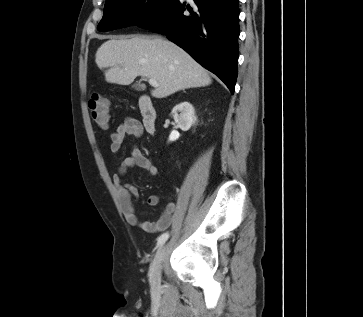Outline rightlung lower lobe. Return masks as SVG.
<instances>
[{
  "label": "right lung lower lobe",
  "instance_id": "1",
  "mask_svg": "<svg viewBox=\"0 0 363 317\" xmlns=\"http://www.w3.org/2000/svg\"><path fill=\"white\" fill-rule=\"evenodd\" d=\"M239 0H176L159 16L137 25L165 34L234 93L237 79ZM188 10L189 14H184Z\"/></svg>",
  "mask_w": 363,
  "mask_h": 317
}]
</instances>
